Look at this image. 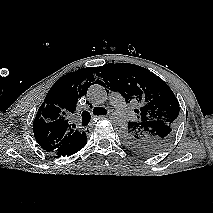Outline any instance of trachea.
Returning a JSON list of instances; mask_svg holds the SVG:
<instances>
[{"label": "trachea", "instance_id": "1", "mask_svg": "<svg viewBox=\"0 0 213 213\" xmlns=\"http://www.w3.org/2000/svg\"><path fill=\"white\" fill-rule=\"evenodd\" d=\"M107 110L105 108L102 107H96L93 109V114L94 115H106ZM91 120V115L88 111H84L82 113V126H86L88 125V123Z\"/></svg>", "mask_w": 213, "mask_h": 213}]
</instances>
